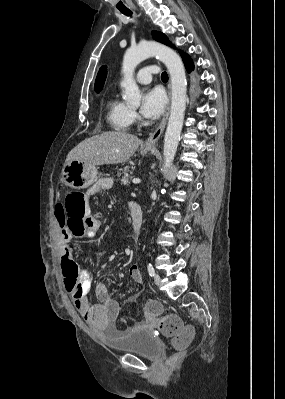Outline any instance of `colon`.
<instances>
[{"instance_id": "1", "label": "colon", "mask_w": 285, "mask_h": 399, "mask_svg": "<svg viewBox=\"0 0 285 399\" xmlns=\"http://www.w3.org/2000/svg\"><path fill=\"white\" fill-rule=\"evenodd\" d=\"M86 204V199L77 197L73 193H68L61 203L60 224L68 229L74 239L90 235L92 221L88 216ZM60 265L68 293L73 299H78L83 281L77 261L71 256H63ZM144 313L153 320L159 321L162 333L171 339L176 348L185 347L195 335L194 330L184 326L179 318L163 316V308L156 299L147 301Z\"/></svg>"}]
</instances>
